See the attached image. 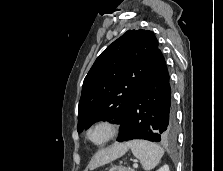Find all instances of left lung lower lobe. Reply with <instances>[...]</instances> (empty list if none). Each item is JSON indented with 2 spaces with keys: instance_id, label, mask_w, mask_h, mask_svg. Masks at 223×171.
I'll return each instance as SVG.
<instances>
[{
  "instance_id": "obj_1",
  "label": "left lung lower lobe",
  "mask_w": 223,
  "mask_h": 171,
  "mask_svg": "<svg viewBox=\"0 0 223 171\" xmlns=\"http://www.w3.org/2000/svg\"><path fill=\"white\" fill-rule=\"evenodd\" d=\"M177 125L172 102L169 73L158 49L153 63L121 122L119 142L144 139L173 142Z\"/></svg>"
}]
</instances>
